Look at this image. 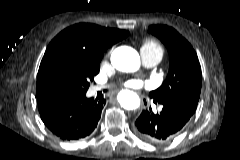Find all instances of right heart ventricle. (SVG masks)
I'll use <instances>...</instances> for the list:
<instances>
[{"instance_id":"e07e8e85","label":"right heart ventricle","mask_w":240,"mask_h":160,"mask_svg":"<svg viewBox=\"0 0 240 160\" xmlns=\"http://www.w3.org/2000/svg\"><path fill=\"white\" fill-rule=\"evenodd\" d=\"M141 49L156 51V52L163 54V49H162L161 45L154 39H146L143 42Z\"/></svg>"}]
</instances>
